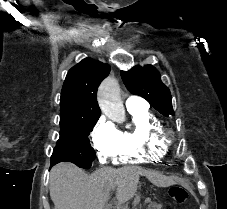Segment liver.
Segmentation results:
<instances>
[{
	"instance_id": "1",
	"label": "liver",
	"mask_w": 227,
	"mask_h": 209,
	"mask_svg": "<svg viewBox=\"0 0 227 209\" xmlns=\"http://www.w3.org/2000/svg\"><path fill=\"white\" fill-rule=\"evenodd\" d=\"M139 175L152 179L155 173L139 167H105L86 175L72 163H59L49 173V193L55 209H103L114 187L127 201L136 191Z\"/></svg>"
}]
</instances>
